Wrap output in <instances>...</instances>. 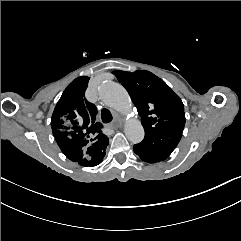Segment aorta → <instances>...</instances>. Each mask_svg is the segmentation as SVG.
Instances as JSON below:
<instances>
[{
  "instance_id": "aorta-1",
  "label": "aorta",
  "mask_w": 241,
  "mask_h": 241,
  "mask_svg": "<svg viewBox=\"0 0 241 241\" xmlns=\"http://www.w3.org/2000/svg\"><path fill=\"white\" fill-rule=\"evenodd\" d=\"M99 95L105 104L121 113L131 110L132 102L126 89L115 82L102 84ZM125 135L132 143H139L144 138V129L139 120L130 119L125 124Z\"/></svg>"
}]
</instances>
